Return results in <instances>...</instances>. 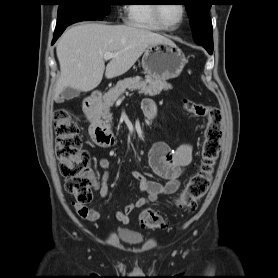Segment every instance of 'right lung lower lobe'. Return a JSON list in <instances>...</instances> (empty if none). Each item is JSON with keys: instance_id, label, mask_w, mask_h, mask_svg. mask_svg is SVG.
Instances as JSON below:
<instances>
[{"instance_id": "98d812e1", "label": "right lung lower lobe", "mask_w": 278, "mask_h": 278, "mask_svg": "<svg viewBox=\"0 0 278 278\" xmlns=\"http://www.w3.org/2000/svg\"><path fill=\"white\" fill-rule=\"evenodd\" d=\"M67 26L62 28H56L54 32V38L52 44L58 39V37L63 33Z\"/></svg>"}]
</instances>
